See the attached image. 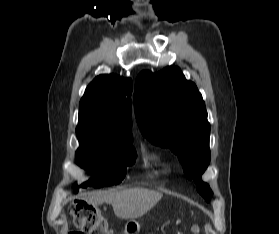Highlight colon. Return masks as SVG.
Here are the masks:
<instances>
[{
    "mask_svg": "<svg viewBox=\"0 0 279 234\" xmlns=\"http://www.w3.org/2000/svg\"><path fill=\"white\" fill-rule=\"evenodd\" d=\"M75 230L70 234H115L102 212L91 204L74 209Z\"/></svg>",
    "mask_w": 279,
    "mask_h": 234,
    "instance_id": "colon-1",
    "label": "colon"
}]
</instances>
